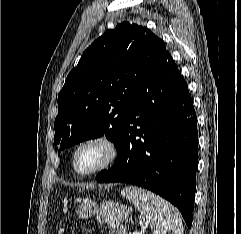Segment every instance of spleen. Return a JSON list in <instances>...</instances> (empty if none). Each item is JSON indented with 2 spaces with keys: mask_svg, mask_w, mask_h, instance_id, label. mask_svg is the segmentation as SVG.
Here are the masks:
<instances>
[{
  "mask_svg": "<svg viewBox=\"0 0 241 234\" xmlns=\"http://www.w3.org/2000/svg\"><path fill=\"white\" fill-rule=\"evenodd\" d=\"M121 195L131 201L146 218L153 234H183V223L180 214L165 199L136 186H128Z\"/></svg>",
  "mask_w": 241,
  "mask_h": 234,
  "instance_id": "spleen-1",
  "label": "spleen"
}]
</instances>
